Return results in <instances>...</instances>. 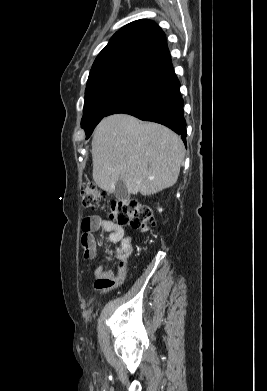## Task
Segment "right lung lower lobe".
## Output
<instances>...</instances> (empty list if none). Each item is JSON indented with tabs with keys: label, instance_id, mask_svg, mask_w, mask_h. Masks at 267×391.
<instances>
[{
	"label": "right lung lower lobe",
	"instance_id": "obj_1",
	"mask_svg": "<svg viewBox=\"0 0 267 391\" xmlns=\"http://www.w3.org/2000/svg\"><path fill=\"white\" fill-rule=\"evenodd\" d=\"M115 113H126L165 125L181 135L186 143L183 99L172 64L152 75L144 85L113 107L108 115Z\"/></svg>",
	"mask_w": 267,
	"mask_h": 391
}]
</instances>
